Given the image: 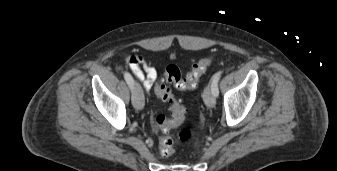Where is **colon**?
I'll return each mask as SVG.
<instances>
[{
	"mask_svg": "<svg viewBox=\"0 0 337 171\" xmlns=\"http://www.w3.org/2000/svg\"><path fill=\"white\" fill-rule=\"evenodd\" d=\"M212 62L211 57H203L196 61L190 72L182 76L175 65L167 66L162 78L155 86L157 96L167 102L170 107L171 117L165 114H157L153 119L155 131L158 135L159 152L163 157H169L174 153L173 140L170 131L179 127L178 138L182 142L189 141L194 133L195 126L185 122L186 109L177 99L167 83H172L178 90L186 91L197 87L201 75Z\"/></svg>",
	"mask_w": 337,
	"mask_h": 171,
	"instance_id": "5ec220e1",
	"label": "colon"
}]
</instances>
